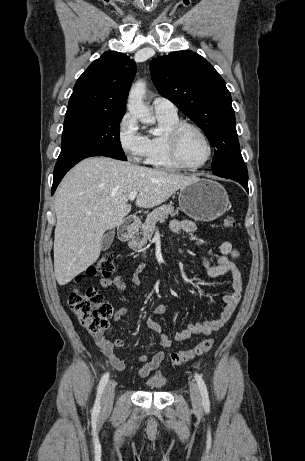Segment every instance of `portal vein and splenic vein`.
<instances>
[{
  "mask_svg": "<svg viewBox=\"0 0 305 461\" xmlns=\"http://www.w3.org/2000/svg\"><path fill=\"white\" fill-rule=\"evenodd\" d=\"M137 197V192H131L129 194V200L133 201Z\"/></svg>",
  "mask_w": 305,
  "mask_h": 461,
  "instance_id": "obj_1",
  "label": "portal vein and splenic vein"
}]
</instances>
